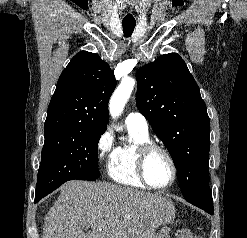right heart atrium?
<instances>
[{"mask_svg":"<svg viewBox=\"0 0 247 238\" xmlns=\"http://www.w3.org/2000/svg\"><path fill=\"white\" fill-rule=\"evenodd\" d=\"M113 134L109 128L104 129L99 135L96 143V153L98 160H103L113 149Z\"/></svg>","mask_w":247,"mask_h":238,"instance_id":"right-heart-atrium-1","label":"right heart atrium"}]
</instances>
